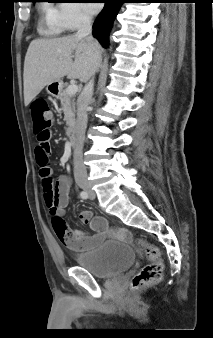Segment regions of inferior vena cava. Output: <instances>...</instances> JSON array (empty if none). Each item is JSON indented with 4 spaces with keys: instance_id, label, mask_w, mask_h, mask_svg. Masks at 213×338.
Segmentation results:
<instances>
[{
    "instance_id": "inferior-vena-cava-1",
    "label": "inferior vena cava",
    "mask_w": 213,
    "mask_h": 338,
    "mask_svg": "<svg viewBox=\"0 0 213 338\" xmlns=\"http://www.w3.org/2000/svg\"><path fill=\"white\" fill-rule=\"evenodd\" d=\"M77 37L93 40L91 19L84 15L81 18L79 29L76 33ZM94 78H92L84 87L78 99V111L76 122V133L74 142V177L75 180H87V171L83 164L82 150L85 140V130L87 127V109L93 95Z\"/></svg>"
}]
</instances>
